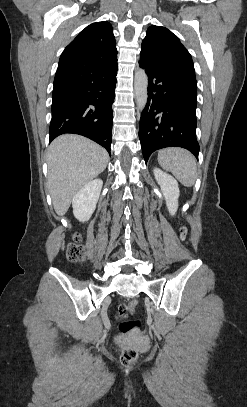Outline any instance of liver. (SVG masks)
Masks as SVG:
<instances>
[{"instance_id":"obj_1","label":"liver","mask_w":247,"mask_h":407,"mask_svg":"<svg viewBox=\"0 0 247 407\" xmlns=\"http://www.w3.org/2000/svg\"><path fill=\"white\" fill-rule=\"evenodd\" d=\"M107 151L80 135L65 134L52 141L47 152L48 189L55 212L63 216L77 192L102 173Z\"/></svg>"}]
</instances>
